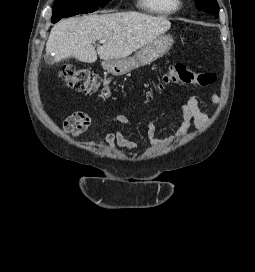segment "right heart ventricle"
<instances>
[{
  "label": "right heart ventricle",
  "mask_w": 255,
  "mask_h": 272,
  "mask_svg": "<svg viewBox=\"0 0 255 272\" xmlns=\"http://www.w3.org/2000/svg\"><path fill=\"white\" fill-rule=\"evenodd\" d=\"M138 6L141 10L166 16L176 13L180 8L179 0H138Z\"/></svg>",
  "instance_id": "right-heart-ventricle-1"
}]
</instances>
